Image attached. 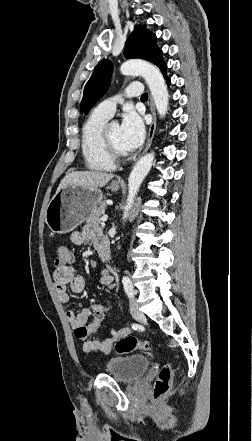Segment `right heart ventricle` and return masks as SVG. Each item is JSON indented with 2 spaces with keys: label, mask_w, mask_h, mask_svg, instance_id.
Wrapping results in <instances>:
<instances>
[{
  "label": "right heart ventricle",
  "mask_w": 252,
  "mask_h": 441,
  "mask_svg": "<svg viewBox=\"0 0 252 441\" xmlns=\"http://www.w3.org/2000/svg\"><path fill=\"white\" fill-rule=\"evenodd\" d=\"M109 117L94 110L85 120L81 132V153L85 167L97 172H110L115 163L109 160L102 148V131Z\"/></svg>",
  "instance_id": "1"
}]
</instances>
